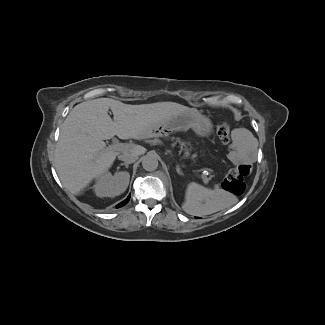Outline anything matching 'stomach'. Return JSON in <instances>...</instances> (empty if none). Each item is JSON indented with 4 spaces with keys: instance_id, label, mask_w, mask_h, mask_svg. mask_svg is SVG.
<instances>
[{
    "instance_id": "obj_1",
    "label": "stomach",
    "mask_w": 325,
    "mask_h": 325,
    "mask_svg": "<svg viewBox=\"0 0 325 325\" xmlns=\"http://www.w3.org/2000/svg\"><path fill=\"white\" fill-rule=\"evenodd\" d=\"M192 128L197 134L205 135L211 131L212 124L208 118L201 116L198 112H186L173 115L160 124L152 127L148 135H177L181 130Z\"/></svg>"
}]
</instances>
